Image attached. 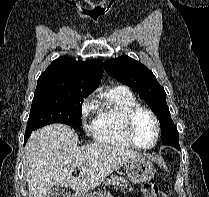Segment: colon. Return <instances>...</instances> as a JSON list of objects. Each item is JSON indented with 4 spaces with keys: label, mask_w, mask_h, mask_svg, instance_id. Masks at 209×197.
Wrapping results in <instances>:
<instances>
[{
    "label": "colon",
    "mask_w": 209,
    "mask_h": 197,
    "mask_svg": "<svg viewBox=\"0 0 209 197\" xmlns=\"http://www.w3.org/2000/svg\"><path fill=\"white\" fill-rule=\"evenodd\" d=\"M142 192L144 197H167L158 187L154 180L146 182L142 186ZM57 197H71L68 191H61Z\"/></svg>",
    "instance_id": "5ec220e1"
}]
</instances>
